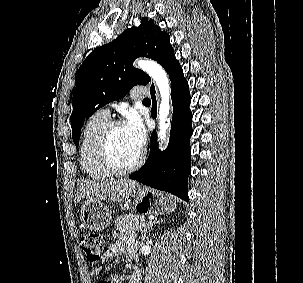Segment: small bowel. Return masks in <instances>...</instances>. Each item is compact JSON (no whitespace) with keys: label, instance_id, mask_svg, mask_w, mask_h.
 Wrapping results in <instances>:
<instances>
[{"label":"small bowel","instance_id":"small-bowel-1","mask_svg":"<svg viewBox=\"0 0 303 283\" xmlns=\"http://www.w3.org/2000/svg\"><path fill=\"white\" fill-rule=\"evenodd\" d=\"M122 253H128L131 258L136 257V252L134 248V239L131 235H122L120 236L119 240L115 243L111 244L108 249L103 253L102 259L105 261L112 260L119 256ZM101 272L100 268H94L91 271L92 277L99 276ZM115 283H132L133 279H137L138 283H141V272L139 269L135 268L133 273L129 276H116Z\"/></svg>","mask_w":303,"mask_h":283}]
</instances>
